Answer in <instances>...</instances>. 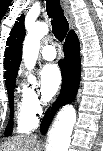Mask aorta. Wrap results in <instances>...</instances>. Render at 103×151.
Segmentation results:
<instances>
[{
    "instance_id": "762f6f07",
    "label": "aorta",
    "mask_w": 103,
    "mask_h": 151,
    "mask_svg": "<svg viewBox=\"0 0 103 151\" xmlns=\"http://www.w3.org/2000/svg\"><path fill=\"white\" fill-rule=\"evenodd\" d=\"M48 31V25L44 22H36L28 29L22 50V58L28 69L35 66L39 54L40 40ZM75 122L76 111L74 107L72 105L64 106L58 113L52 127L46 151H68Z\"/></svg>"
}]
</instances>
